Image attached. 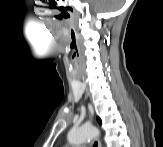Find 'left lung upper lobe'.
<instances>
[{"mask_svg":"<svg viewBox=\"0 0 163 147\" xmlns=\"http://www.w3.org/2000/svg\"><path fill=\"white\" fill-rule=\"evenodd\" d=\"M99 123L101 124V120L98 118Z\"/></svg>","mask_w":163,"mask_h":147,"instance_id":"obj_1","label":"left lung upper lobe"}]
</instances>
